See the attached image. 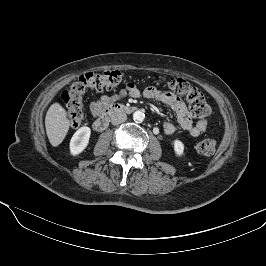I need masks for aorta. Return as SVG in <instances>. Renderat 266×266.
<instances>
[{
	"label": "aorta",
	"mask_w": 266,
	"mask_h": 266,
	"mask_svg": "<svg viewBox=\"0 0 266 266\" xmlns=\"http://www.w3.org/2000/svg\"><path fill=\"white\" fill-rule=\"evenodd\" d=\"M144 118H145V114L142 111H140V110L135 111L133 113V119L136 122H142L144 120Z\"/></svg>",
	"instance_id": "762f6f07"
}]
</instances>
